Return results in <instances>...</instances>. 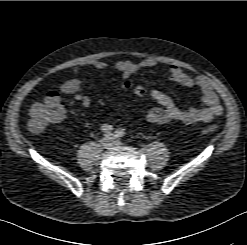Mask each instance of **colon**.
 I'll return each instance as SVG.
<instances>
[{"label":"colon","instance_id":"colon-1","mask_svg":"<svg viewBox=\"0 0 247 245\" xmlns=\"http://www.w3.org/2000/svg\"><path fill=\"white\" fill-rule=\"evenodd\" d=\"M123 90H132L135 93H141L142 87L134 86L132 82L125 81L121 85ZM62 108L55 103L45 101H36L28 109V127L34 133L42 132L47 126L58 123L63 119ZM217 124H209L202 128L204 133H213L217 131Z\"/></svg>","mask_w":247,"mask_h":245}]
</instances>
